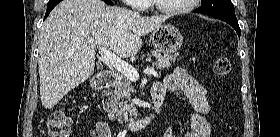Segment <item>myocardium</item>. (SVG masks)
<instances>
[{
  "instance_id": "myocardium-1",
  "label": "myocardium",
  "mask_w": 280,
  "mask_h": 137,
  "mask_svg": "<svg viewBox=\"0 0 280 137\" xmlns=\"http://www.w3.org/2000/svg\"><path fill=\"white\" fill-rule=\"evenodd\" d=\"M151 3L152 7L156 9L157 11L166 13V14H182L187 11H190L192 9V5L196 0H186V4L179 6V7H174V8H164L161 5L157 3L156 0H149Z\"/></svg>"
}]
</instances>
